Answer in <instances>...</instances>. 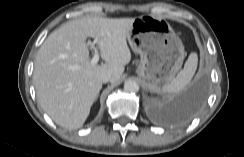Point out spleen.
<instances>
[{
  "label": "spleen",
  "instance_id": "obj_1",
  "mask_svg": "<svg viewBox=\"0 0 244 157\" xmlns=\"http://www.w3.org/2000/svg\"><path fill=\"white\" fill-rule=\"evenodd\" d=\"M197 61V53H191L184 68L170 83L164 85L162 90L169 93H177L181 91L191 81L197 68Z\"/></svg>",
  "mask_w": 244,
  "mask_h": 157
}]
</instances>
